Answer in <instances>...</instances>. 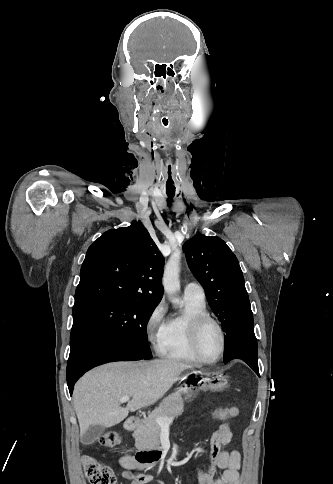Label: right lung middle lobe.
Here are the masks:
<instances>
[{"label":"right lung middle lobe","instance_id":"1","mask_svg":"<svg viewBox=\"0 0 333 484\" xmlns=\"http://www.w3.org/2000/svg\"><path fill=\"white\" fill-rule=\"evenodd\" d=\"M157 303L116 299L89 298L76 303L73 317L83 315L115 335L142 359H150L147 322Z\"/></svg>","mask_w":333,"mask_h":484}]
</instances>
